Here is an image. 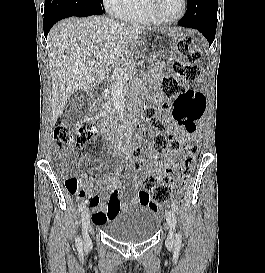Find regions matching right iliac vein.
Here are the masks:
<instances>
[{
    "label": "right iliac vein",
    "mask_w": 265,
    "mask_h": 273,
    "mask_svg": "<svg viewBox=\"0 0 265 273\" xmlns=\"http://www.w3.org/2000/svg\"><path fill=\"white\" fill-rule=\"evenodd\" d=\"M81 221L84 246L89 247L91 246L92 241L88 233L90 227V213L87 209L82 212Z\"/></svg>",
    "instance_id": "1"
}]
</instances>
